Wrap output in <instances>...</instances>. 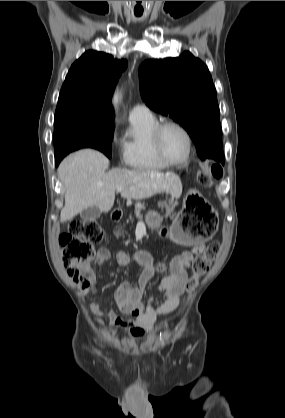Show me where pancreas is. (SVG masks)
Segmentation results:
<instances>
[{
	"instance_id": "1",
	"label": "pancreas",
	"mask_w": 285,
	"mask_h": 418,
	"mask_svg": "<svg viewBox=\"0 0 285 418\" xmlns=\"http://www.w3.org/2000/svg\"><path fill=\"white\" fill-rule=\"evenodd\" d=\"M158 207H161L162 209H163V208H165V209H166V214H165V216H166V217H170V218L174 217V214H173V210H174V207H175V205H174V204H172V203L167 204V203H165V202H159V203H158ZM141 210H144V206L137 207V208L135 209V215H136L137 217H140V211H141Z\"/></svg>"
}]
</instances>
